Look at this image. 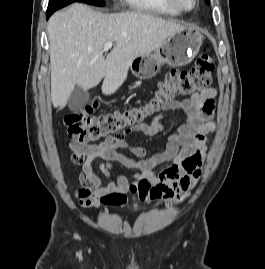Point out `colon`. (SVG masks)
Listing matches in <instances>:
<instances>
[{"label":"colon","instance_id":"obj_1","mask_svg":"<svg viewBox=\"0 0 265 269\" xmlns=\"http://www.w3.org/2000/svg\"><path fill=\"white\" fill-rule=\"evenodd\" d=\"M214 69L213 59L204 52L190 70L170 71L158 83L151 98L140 106L99 116L91 115L96 104L71 112L64 119L68 136L82 143L117 137L158 113L176 96H190L208 88ZM164 192L165 188L161 186L148 188V193L153 198L162 196Z\"/></svg>","mask_w":265,"mask_h":269}]
</instances>
